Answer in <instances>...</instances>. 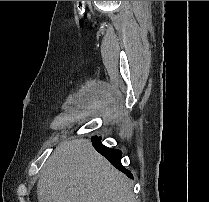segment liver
Instances as JSON below:
<instances>
[{
  "mask_svg": "<svg viewBox=\"0 0 209 202\" xmlns=\"http://www.w3.org/2000/svg\"><path fill=\"white\" fill-rule=\"evenodd\" d=\"M37 198L39 202H135L129 179L83 138L57 146L42 167Z\"/></svg>",
  "mask_w": 209,
  "mask_h": 202,
  "instance_id": "1",
  "label": "liver"
}]
</instances>
